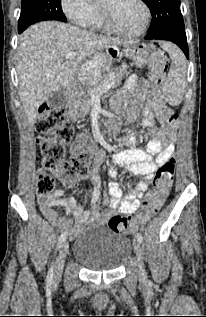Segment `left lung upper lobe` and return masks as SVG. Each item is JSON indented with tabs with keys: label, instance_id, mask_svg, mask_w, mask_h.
I'll return each mask as SVG.
<instances>
[{
	"label": "left lung upper lobe",
	"instance_id": "obj_1",
	"mask_svg": "<svg viewBox=\"0 0 206 317\" xmlns=\"http://www.w3.org/2000/svg\"><path fill=\"white\" fill-rule=\"evenodd\" d=\"M147 4L152 13V23L146 35L156 38L163 35H186L180 0H142Z\"/></svg>",
	"mask_w": 206,
	"mask_h": 317
}]
</instances>
